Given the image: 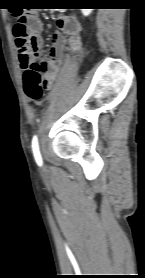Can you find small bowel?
<instances>
[{"label": "small bowel", "mask_w": 145, "mask_h": 278, "mask_svg": "<svg viewBox=\"0 0 145 278\" xmlns=\"http://www.w3.org/2000/svg\"><path fill=\"white\" fill-rule=\"evenodd\" d=\"M23 18L27 24L29 33L27 49L19 51L20 67L26 70L30 66L31 58L45 51L44 41L42 38L43 22L38 16L37 10H30ZM57 26L61 32H57L52 37V44L48 51V59L46 61L47 68V86L50 88L57 78L60 64L62 63V55L66 50L77 51L80 48V22L68 16H60L57 19ZM16 42L17 39L15 38ZM17 44V43H16ZM29 48L32 49L29 52Z\"/></svg>", "instance_id": "1"}]
</instances>
